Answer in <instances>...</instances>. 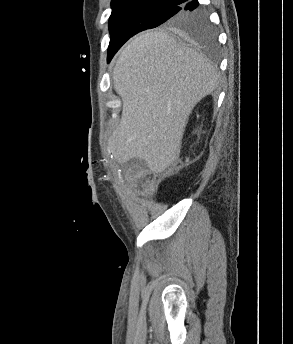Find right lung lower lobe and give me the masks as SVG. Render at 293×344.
Returning <instances> with one entry per match:
<instances>
[{
  "mask_svg": "<svg viewBox=\"0 0 293 344\" xmlns=\"http://www.w3.org/2000/svg\"><path fill=\"white\" fill-rule=\"evenodd\" d=\"M198 1L197 0H193L192 2L188 3L186 6H181L182 11L184 12H196L199 11L200 9H198ZM111 60V58L108 59V62Z\"/></svg>",
  "mask_w": 293,
  "mask_h": 344,
  "instance_id": "right-lung-lower-lobe-1",
  "label": "right lung lower lobe"
}]
</instances>
